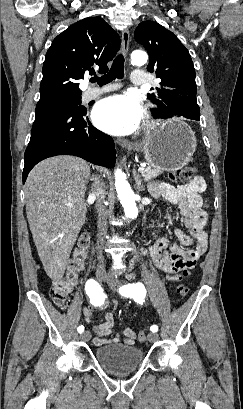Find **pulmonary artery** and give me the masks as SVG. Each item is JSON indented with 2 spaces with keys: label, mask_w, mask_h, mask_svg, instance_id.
Returning a JSON list of instances; mask_svg holds the SVG:
<instances>
[{
  "label": "pulmonary artery",
  "mask_w": 243,
  "mask_h": 409,
  "mask_svg": "<svg viewBox=\"0 0 243 409\" xmlns=\"http://www.w3.org/2000/svg\"><path fill=\"white\" fill-rule=\"evenodd\" d=\"M131 81L134 85L142 86L146 84L147 78L146 74L142 70H134L131 74ZM116 86H105L103 88H90L86 90L83 94V99L85 101H90L99 97L100 95L114 90Z\"/></svg>",
  "instance_id": "pulmonary-artery-1"
}]
</instances>
